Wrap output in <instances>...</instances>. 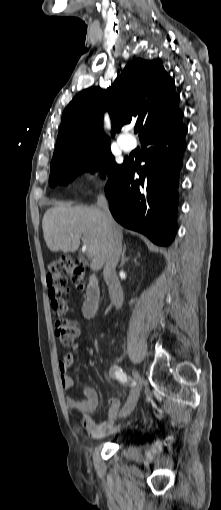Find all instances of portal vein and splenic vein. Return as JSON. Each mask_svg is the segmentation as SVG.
Listing matches in <instances>:
<instances>
[{"label":"portal vein and splenic vein","mask_w":221,"mask_h":510,"mask_svg":"<svg viewBox=\"0 0 221 510\" xmlns=\"http://www.w3.org/2000/svg\"><path fill=\"white\" fill-rule=\"evenodd\" d=\"M84 247L86 248V255L89 259L93 258V249L88 247L87 244L84 242Z\"/></svg>","instance_id":"portal-vein-and-splenic-vein-1"}]
</instances>
